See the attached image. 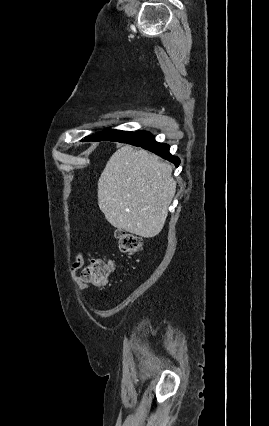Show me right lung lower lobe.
Listing matches in <instances>:
<instances>
[{
	"label": "right lung lower lobe",
	"mask_w": 269,
	"mask_h": 426,
	"mask_svg": "<svg viewBox=\"0 0 269 426\" xmlns=\"http://www.w3.org/2000/svg\"><path fill=\"white\" fill-rule=\"evenodd\" d=\"M117 142L142 147L174 163L176 167H178V165L180 164L179 158L170 154V146L164 143L156 142L154 136L149 132L137 131L132 133L125 139L117 140Z\"/></svg>",
	"instance_id": "right-lung-lower-lobe-1"
}]
</instances>
